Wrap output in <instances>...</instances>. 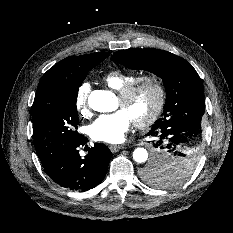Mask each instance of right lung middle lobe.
Listing matches in <instances>:
<instances>
[{
	"label": "right lung middle lobe",
	"mask_w": 233,
	"mask_h": 233,
	"mask_svg": "<svg viewBox=\"0 0 233 233\" xmlns=\"http://www.w3.org/2000/svg\"><path fill=\"white\" fill-rule=\"evenodd\" d=\"M96 65L70 78L67 86L48 89L34 99L33 138L40 160L59 155L83 137L77 132V94L87 73Z\"/></svg>",
	"instance_id": "right-lung-middle-lobe-1"
}]
</instances>
